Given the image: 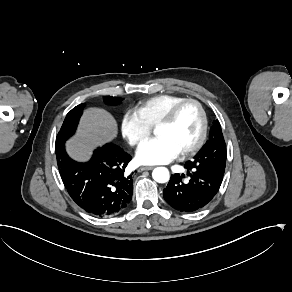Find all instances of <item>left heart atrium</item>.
Returning a JSON list of instances; mask_svg holds the SVG:
<instances>
[{
  "label": "left heart atrium",
  "mask_w": 292,
  "mask_h": 292,
  "mask_svg": "<svg viewBox=\"0 0 292 292\" xmlns=\"http://www.w3.org/2000/svg\"><path fill=\"white\" fill-rule=\"evenodd\" d=\"M180 153L181 150L171 139L156 135L138 147L136 160L141 164H163L178 157Z\"/></svg>",
  "instance_id": "1"
}]
</instances>
